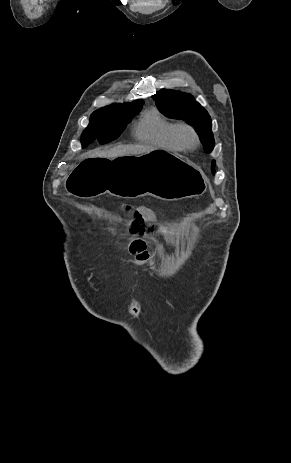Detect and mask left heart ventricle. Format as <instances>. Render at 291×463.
<instances>
[{
    "label": "left heart ventricle",
    "mask_w": 291,
    "mask_h": 463,
    "mask_svg": "<svg viewBox=\"0 0 291 463\" xmlns=\"http://www.w3.org/2000/svg\"><path fill=\"white\" fill-rule=\"evenodd\" d=\"M185 140L189 142V137L188 136H185Z\"/></svg>",
    "instance_id": "obj_1"
}]
</instances>
